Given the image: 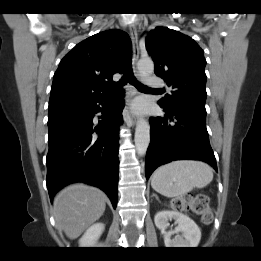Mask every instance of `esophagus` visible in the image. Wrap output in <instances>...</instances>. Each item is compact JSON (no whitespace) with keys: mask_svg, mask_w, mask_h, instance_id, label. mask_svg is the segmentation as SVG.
Wrapping results in <instances>:
<instances>
[{"mask_svg":"<svg viewBox=\"0 0 261 261\" xmlns=\"http://www.w3.org/2000/svg\"><path fill=\"white\" fill-rule=\"evenodd\" d=\"M129 33L133 46V61H132L133 73L135 76H138L137 62L139 59V45H138V33L135 24L130 25ZM135 94H136V90L132 86H128L125 114L133 123L137 122V117L135 116L132 109V98L134 97Z\"/></svg>","mask_w":261,"mask_h":261,"instance_id":"34e87169","label":"esophagus"}]
</instances>
